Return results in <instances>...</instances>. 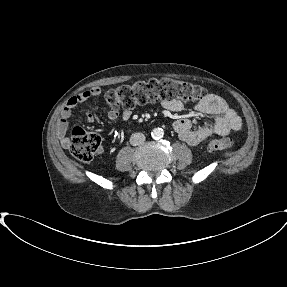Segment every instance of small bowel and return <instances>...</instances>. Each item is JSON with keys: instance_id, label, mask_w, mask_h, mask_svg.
I'll return each mask as SVG.
<instances>
[{"instance_id": "1", "label": "small bowel", "mask_w": 287, "mask_h": 287, "mask_svg": "<svg viewBox=\"0 0 287 287\" xmlns=\"http://www.w3.org/2000/svg\"><path fill=\"white\" fill-rule=\"evenodd\" d=\"M101 90L98 87L83 91L71 97L61 112V117L56 125V134L63 146H68L69 138L67 137L68 119L73 109L82 102L92 97L99 96ZM163 107L170 111H181L184 105L179 100L163 102ZM196 110L213 116V120L203 124L197 129H192L191 121L187 118H181L175 121L174 129L178 137L191 146H197L210 137L215 135H226L231 131H238L242 128V120L230 105L220 96L210 94L201 103L196 106ZM130 109H122L121 113L117 109H110L108 118L115 121L121 116L124 120L131 117ZM95 119L91 112L86 113V120L93 122Z\"/></svg>"}]
</instances>
